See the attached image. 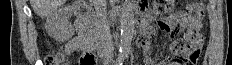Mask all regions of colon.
<instances>
[{"label":"colon","instance_id":"obj_1","mask_svg":"<svg viewBox=\"0 0 232 65\" xmlns=\"http://www.w3.org/2000/svg\"><path fill=\"white\" fill-rule=\"evenodd\" d=\"M156 12L166 17L173 9L172 0H156L154 3ZM204 19V5L200 1L191 2L186 10V33L184 39H178L171 45L173 56L169 59L180 65H189L196 62L200 53L202 39V26ZM64 58L58 52L50 53L46 59V65L63 64ZM81 65H94L95 59L92 53L85 52L80 59Z\"/></svg>","mask_w":232,"mask_h":65}]
</instances>
